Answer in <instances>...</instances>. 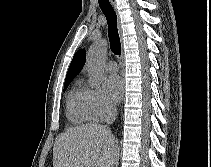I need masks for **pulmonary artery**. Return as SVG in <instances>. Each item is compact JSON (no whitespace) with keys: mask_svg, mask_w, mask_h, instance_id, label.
Returning a JSON list of instances; mask_svg holds the SVG:
<instances>
[{"mask_svg":"<svg viewBox=\"0 0 211 167\" xmlns=\"http://www.w3.org/2000/svg\"><path fill=\"white\" fill-rule=\"evenodd\" d=\"M105 69L107 72L115 74L118 71V64L113 60L108 61L105 65Z\"/></svg>","mask_w":211,"mask_h":167,"instance_id":"pulmonary-artery-1","label":"pulmonary artery"}]
</instances>
